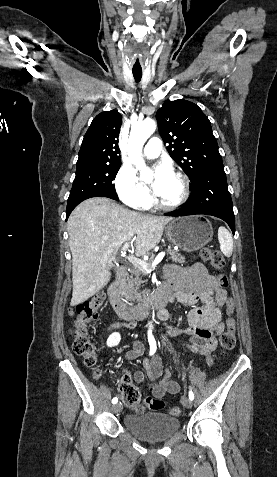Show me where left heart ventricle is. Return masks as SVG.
I'll return each mask as SVG.
<instances>
[{"instance_id":"1","label":"left heart ventricle","mask_w":277,"mask_h":477,"mask_svg":"<svg viewBox=\"0 0 277 477\" xmlns=\"http://www.w3.org/2000/svg\"><path fill=\"white\" fill-rule=\"evenodd\" d=\"M182 185L180 180L173 174L164 185L163 190L158 194L159 198L166 202H175L181 195Z\"/></svg>"}]
</instances>
